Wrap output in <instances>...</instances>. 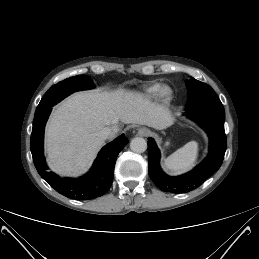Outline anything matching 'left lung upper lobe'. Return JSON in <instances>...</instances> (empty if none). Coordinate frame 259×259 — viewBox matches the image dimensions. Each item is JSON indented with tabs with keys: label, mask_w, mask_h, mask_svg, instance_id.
<instances>
[{
	"label": "left lung upper lobe",
	"mask_w": 259,
	"mask_h": 259,
	"mask_svg": "<svg viewBox=\"0 0 259 259\" xmlns=\"http://www.w3.org/2000/svg\"><path fill=\"white\" fill-rule=\"evenodd\" d=\"M188 101L185 109L221 103L212 87L191 77L186 81Z\"/></svg>",
	"instance_id": "left-lung-upper-lobe-1"
}]
</instances>
